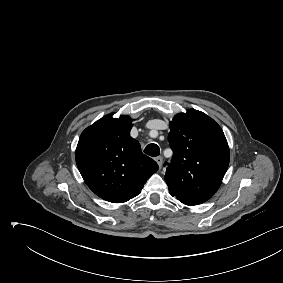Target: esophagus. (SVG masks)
<instances>
[{"label": "esophagus", "instance_id": "1", "mask_svg": "<svg viewBox=\"0 0 283 283\" xmlns=\"http://www.w3.org/2000/svg\"><path fill=\"white\" fill-rule=\"evenodd\" d=\"M155 161L157 162L158 166L161 168L162 163H163V158L158 156L155 158Z\"/></svg>", "mask_w": 283, "mask_h": 283}]
</instances>
